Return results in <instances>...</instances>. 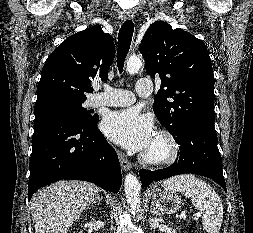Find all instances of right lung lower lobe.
<instances>
[{"label":"right lung lower lobe","mask_w":253,"mask_h":233,"mask_svg":"<svg viewBox=\"0 0 253 233\" xmlns=\"http://www.w3.org/2000/svg\"><path fill=\"white\" fill-rule=\"evenodd\" d=\"M99 117L82 125L49 118L34 123L28 200L58 180H84L117 193L122 184L115 150L97 127Z\"/></svg>","instance_id":"1"}]
</instances>
